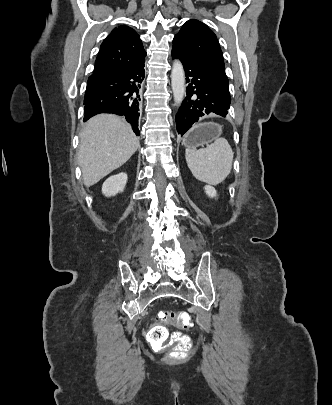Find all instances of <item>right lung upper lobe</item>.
<instances>
[{"mask_svg": "<svg viewBox=\"0 0 332 405\" xmlns=\"http://www.w3.org/2000/svg\"><path fill=\"white\" fill-rule=\"evenodd\" d=\"M145 56L139 35L132 28L120 26L102 42L93 73L123 69L142 61Z\"/></svg>", "mask_w": 332, "mask_h": 405, "instance_id": "obj_1", "label": "right lung upper lobe"}]
</instances>
